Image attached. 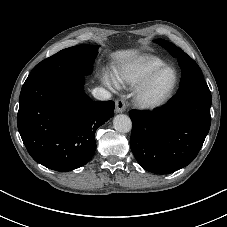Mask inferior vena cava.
Wrapping results in <instances>:
<instances>
[{
    "instance_id": "1",
    "label": "inferior vena cava",
    "mask_w": 227,
    "mask_h": 227,
    "mask_svg": "<svg viewBox=\"0 0 227 227\" xmlns=\"http://www.w3.org/2000/svg\"><path fill=\"white\" fill-rule=\"evenodd\" d=\"M92 95L97 99V100H108L111 98V94L109 91L102 87H97L92 90Z\"/></svg>"
}]
</instances>
